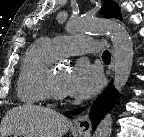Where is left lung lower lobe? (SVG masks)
Masks as SVG:
<instances>
[{
    "mask_svg": "<svg viewBox=\"0 0 144 137\" xmlns=\"http://www.w3.org/2000/svg\"><path fill=\"white\" fill-rule=\"evenodd\" d=\"M117 97L118 93L115 91V88L112 87V83H110V86L101 93L91 108L90 119L93 127L98 125L103 116L113 108ZM82 111L83 108H78L72 111L71 114H78Z\"/></svg>",
    "mask_w": 144,
    "mask_h": 137,
    "instance_id": "obj_1",
    "label": "left lung lower lobe"
}]
</instances>
